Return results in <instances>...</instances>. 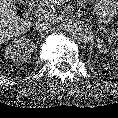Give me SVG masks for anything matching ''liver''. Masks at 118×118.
Returning a JSON list of instances; mask_svg holds the SVG:
<instances>
[{
  "mask_svg": "<svg viewBox=\"0 0 118 118\" xmlns=\"http://www.w3.org/2000/svg\"><path fill=\"white\" fill-rule=\"evenodd\" d=\"M48 3L61 4L68 0H47ZM14 0H0V44L25 33L31 23L17 15Z\"/></svg>",
  "mask_w": 118,
  "mask_h": 118,
  "instance_id": "1",
  "label": "liver"
}]
</instances>
